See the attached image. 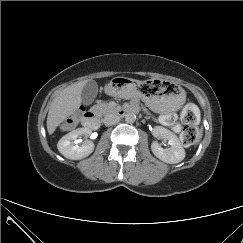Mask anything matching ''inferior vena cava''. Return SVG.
Here are the masks:
<instances>
[{"instance_id": "inferior-vena-cava-1", "label": "inferior vena cava", "mask_w": 243, "mask_h": 243, "mask_svg": "<svg viewBox=\"0 0 243 243\" xmlns=\"http://www.w3.org/2000/svg\"><path fill=\"white\" fill-rule=\"evenodd\" d=\"M120 121V117L117 114L110 113L105 115L103 122L106 126H111Z\"/></svg>"}]
</instances>
